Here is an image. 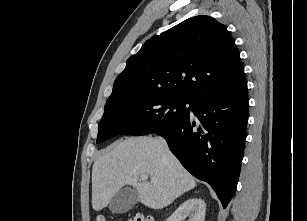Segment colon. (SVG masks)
I'll use <instances>...</instances> for the list:
<instances>
[{"label": "colon", "mask_w": 307, "mask_h": 221, "mask_svg": "<svg viewBox=\"0 0 307 221\" xmlns=\"http://www.w3.org/2000/svg\"><path fill=\"white\" fill-rule=\"evenodd\" d=\"M96 221H108V219L103 215H98ZM128 221H151V217H146L144 215H135Z\"/></svg>", "instance_id": "colon-1"}]
</instances>
